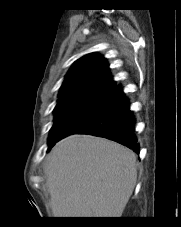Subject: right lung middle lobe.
Returning <instances> with one entry per match:
<instances>
[{
	"label": "right lung middle lobe",
	"mask_w": 181,
	"mask_h": 227,
	"mask_svg": "<svg viewBox=\"0 0 181 227\" xmlns=\"http://www.w3.org/2000/svg\"><path fill=\"white\" fill-rule=\"evenodd\" d=\"M111 94V91H102L59 99L54 109L55 120L50 130L48 144L58 141L70 126L97 111Z\"/></svg>",
	"instance_id": "obj_1"
}]
</instances>
